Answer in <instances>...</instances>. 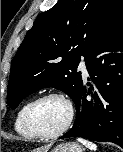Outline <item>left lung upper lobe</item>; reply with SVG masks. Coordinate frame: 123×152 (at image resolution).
<instances>
[{
	"mask_svg": "<svg viewBox=\"0 0 123 152\" xmlns=\"http://www.w3.org/2000/svg\"><path fill=\"white\" fill-rule=\"evenodd\" d=\"M121 0H60L40 14L13 61L7 100L14 109L28 95L55 87L76 98L80 57L89 56Z\"/></svg>",
	"mask_w": 123,
	"mask_h": 152,
	"instance_id": "5c2ea615",
	"label": "left lung upper lobe"
}]
</instances>
